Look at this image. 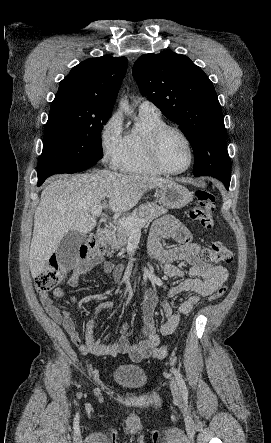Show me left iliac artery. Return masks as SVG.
Returning <instances> with one entry per match:
<instances>
[{"instance_id": "44dca946", "label": "left iliac artery", "mask_w": 271, "mask_h": 443, "mask_svg": "<svg viewBox=\"0 0 271 443\" xmlns=\"http://www.w3.org/2000/svg\"><path fill=\"white\" fill-rule=\"evenodd\" d=\"M172 372L174 373V375L176 377V380L178 382V385H179V388L181 390L183 397H187V395H188L187 387H186V384H185L180 372L176 368H172Z\"/></svg>"}]
</instances>
